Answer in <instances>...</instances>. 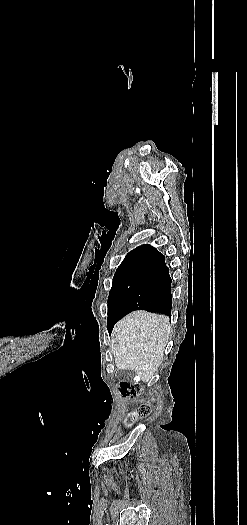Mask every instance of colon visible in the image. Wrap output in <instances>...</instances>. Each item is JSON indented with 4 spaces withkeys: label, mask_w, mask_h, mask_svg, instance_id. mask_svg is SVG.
<instances>
[{
    "label": "colon",
    "mask_w": 247,
    "mask_h": 525,
    "mask_svg": "<svg viewBox=\"0 0 247 525\" xmlns=\"http://www.w3.org/2000/svg\"><path fill=\"white\" fill-rule=\"evenodd\" d=\"M121 393L125 397H135L140 391L141 387L137 384L131 383L129 381H123L120 385ZM150 404L149 402L142 403L135 411H133L128 418L127 423L132 425L135 421L140 418H145L150 414Z\"/></svg>",
    "instance_id": "5ec220e1"
}]
</instances>
